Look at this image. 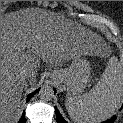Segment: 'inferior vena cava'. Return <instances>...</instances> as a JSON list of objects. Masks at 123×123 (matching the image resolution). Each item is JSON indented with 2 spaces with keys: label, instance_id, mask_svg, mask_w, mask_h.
<instances>
[{
  "label": "inferior vena cava",
  "instance_id": "inferior-vena-cava-1",
  "mask_svg": "<svg viewBox=\"0 0 123 123\" xmlns=\"http://www.w3.org/2000/svg\"><path fill=\"white\" fill-rule=\"evenodd\" d=\"M20 76L23 80L30 78V74L26 71L22 72Z\"/></svg>",
  "mask_w": 123,
  "mask_h": 123
}]
</instances>
